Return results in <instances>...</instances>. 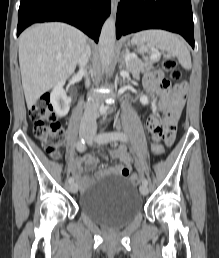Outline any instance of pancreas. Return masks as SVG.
<instances>
[{
  "label": "pancreas",
  "instance_id": "1",
  "mask_svg": "<svg viewBox=\"0 0 219 258\" xmlns=\"http://www.w3.org/2000/svg\"><path fill=\"white\" fill-rule=\"evenodd\" d=\"M158 61H159V57L145 62L141 61L138 58H131L130 61L126 64V69L127 71L132 73L134 77H138L140 72L152 69L153 63Z\"/></svg>",
  "mask_w": 219,
  "mask_h": 258
}]
</instances>
